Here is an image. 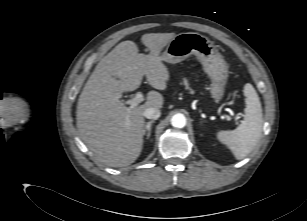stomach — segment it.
Instances as JSON below:
<instances>
[{"label":"stomach","mask_w":307,"mask_h":221,"mask_svg":"<svg viewBox=\"0 0 307 221\" xmlns=\"http://www.w3.org/2000/svg\"><path fill=\"white\" fill-rule=\"evenodd\" d=\"M191 55H195L201 62L211 80V98L219 103L225 93L228 65L207 37L195 32L177 34L168 42L160 57L163 62L176 64Z\"/></svg>","instance_id":"1"}]
</instances>
